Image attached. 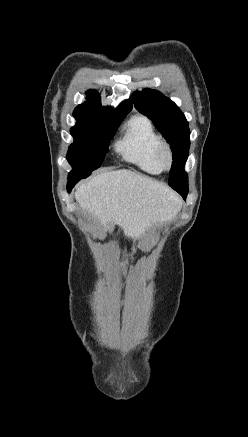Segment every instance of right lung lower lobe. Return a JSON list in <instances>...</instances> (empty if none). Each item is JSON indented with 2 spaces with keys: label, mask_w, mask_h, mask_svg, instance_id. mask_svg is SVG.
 <instances>
[{
  "label": "right lung lower lobe",
  "mask_w": 248,
  "mask_h": 437,
  "mask_svg": "<svg viewBox=\"0 0 248 437\" xmlns=\"http://www.w3.org/2000/svg\"><path fill=\"white\" fill-rule=\"evenodd\" d=\"M81 180L80 178H69L67 183V191L71 192L72 188L75 186V184Z\"/></svg>",
  "instance_id": "right-lung-lower-lobe-1"
}]
</instances>
